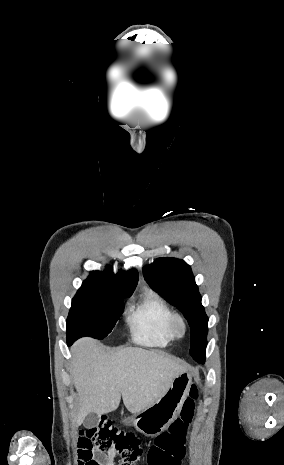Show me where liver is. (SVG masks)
I'll return each instance as SVG.
<instances>
[{"mask_svg": "<svg viewBox=\"0 0 284 465\" xmlns=\"http://www.w3.org/2000/svg\"><path fill=\"white\" fill-rule=\"evenodd\" d=\"M71 353L70 373L78 393L76 427L89 413L101 417L116 411L121 395L130 413L148 409L166 393L177 375L187 371L183 361L166 353L124 347L109 355L104 345L87 337L76 341Z\"/></svg>", "mask_w": 284, "mask_h": 465, "instance_id": "liver-1", "label": "liver"}]
</instances>
